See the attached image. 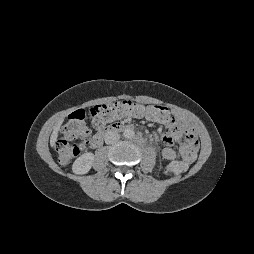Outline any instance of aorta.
<instances>
[{
	"instance_id": "obj_1",
	"label": "aorta",
	"mask_w": 254,
	"mask_h": 254,
	"mask_svg": "<svg viewBox=\"0 0 254 254\" xmlns=\"http://www.w3.org/2000/svg\"><path fill=\"white\" fill-rule=\"evenodd\" d=\"M125 138L131 139L135 136V132L132 128H126L123 132Z\"/></svg>"
}]
</instances>
